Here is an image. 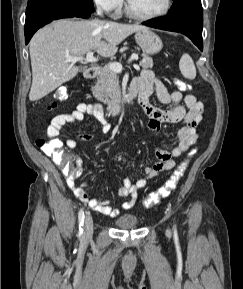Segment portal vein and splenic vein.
Masks as SVG:
<instances>
[{
  "mask_svg": "<svg viewBox=\"0 0 243 289\" xmlns=\"http://www.w3.org/2000/svg\"><path fill=\"white\" fill-rule=\"evenodd\" d=\"M68 62H72V63H76L78 61H85V62H89V63H95L97 62V58H95L93 56V52L89 51L86 55V57L83 56H67L66 57ZM134 60H138V56L137 55H132L129 59V62L134 61ZM109 68L118 73L122 70V65L118 62H111L108 64Z\"/></svg>",
  "mask_w": 243,
  "mask_h": 289,
  "instance_id": "portal-vein-and-splenic-vein-1",
  "label": "portal vein and splenic vein"
}]
</instances>
